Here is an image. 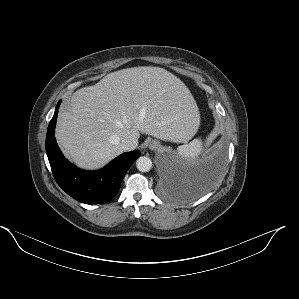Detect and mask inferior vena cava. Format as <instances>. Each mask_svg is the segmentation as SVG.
Returning a JSON list of instances; mask_svg holds the SVG:
<instances>
[{"label": "inferior vena cava", "instance_id": "inferior-vena-cava-1", "mask_svg": "<svg viewBox=\"0 0 299 299\" xmlns=\"http://www.w3.org/2000/svg\"><path fill=\"white\" fill-rule=\"evenodd\" d=\"M138 146V140L133 137H125L120 141V147L123 151H130Z\"/></svg>", "mask_w": 299, "mask_h": 299}]
</instances>
